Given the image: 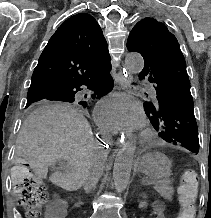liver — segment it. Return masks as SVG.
<instances>
[{"instance_id":"6515ba94","label":"liver","mask_w":211,"mask_h":218,"mask_svg":"<svg viewBox=\"0 0 211 218\" xmlns=\"http://www.w3.org/2000/svg\"><path fill=\"white\" fill-rule=\"evenodd\" d=\"M16 144L39 178H46L48 166L65 160L71 172H55L49 178L63 190L80 188L85 176L95 170L96 162L101 160L100 168H104L90 124L81 110L68 104H49L34 110L23 122Z\"/></svg>"}]
</instances>
